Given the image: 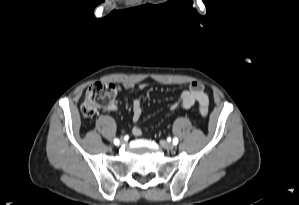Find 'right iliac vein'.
Masks as SVG:
<instances>
[{
  "mask_svg": "<svg viewBox=\"0 0 299 205\" xmlns=\"http://www.w3.org/2000/svg\"><path fill=\"white\" fill-rule=\"evenodd\" d=\"M124 142V140L123 139H121V143H123Z\"/></svg>",
  "mask_w": 299,
  "mask_h": 205,
  "instance_id": "1",
  "label": "right iliac vein"
}]
</instances>
